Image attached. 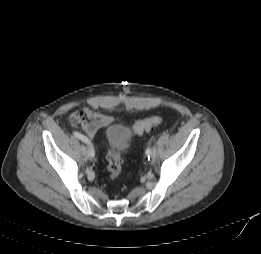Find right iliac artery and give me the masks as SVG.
<instances>
[{
	"instance_id": "right-iliac-artery-1",
	"label": "right iliac artery",
	"mask_w": 261,
	"mask_h": 254,
	"mask_svg": "<svg viewBox=\"0 0 261 254\" xmlns=\"http://www.w3.org/2000/svg\"><path fill=\"white\" fill-rule=\"evenodd\" d=\"M73 135L78 138L79 140H81L82 142L86 143L88 145V151H89V155L91 157H94L95 155V151H94V148H93V145L91 143V141L84 135H82L81 133L79 132H76L74 131L73 132Z\"/></svg>"
}]
</instances>
